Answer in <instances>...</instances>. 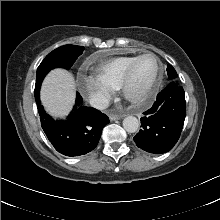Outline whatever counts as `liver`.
Returning <instances> with one entry per match:
<instances>
[{"instance_id":"obj_1","label":"liver","mask_w":220,"mask_h":220,"mask_svg":"<svg viewBox=\"0 0 220 220\" xmlns=\"http://www.w3.org/2000/svg\"><path fill=\"white\" fill-rule=\"evenodd\" d=\"M41 101L52 116H66L75 101V81L71 73L64 69L51 71L41 87Z\"/></svg>"}]
</instances>
